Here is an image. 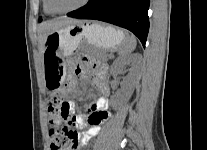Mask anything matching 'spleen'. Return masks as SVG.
Wrapping results in <instances>:
<instances>
[{
	"label": "spleen",
	"instance_id": "1",
	"mask_svg": "<svg viewBox=\"0 0 207 150\" xmlns=\"http://www.w3.org/2000/svg\"><path fill=\"white\" fill-rule=\"evenodd\" d=\"M136 38L134 36H128V41L124 45L118 48V53L120 56L130 55L136 48Z\"/></svg>",
	"mask_w": 207,
	"mask_h": 150
}]
</instances>
